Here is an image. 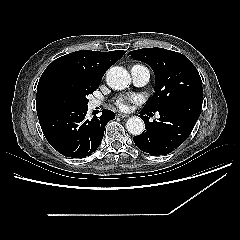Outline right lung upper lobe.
<instances>
[{"label": "right lung upper lobe", "mask_w": 240, "mask_h": 240, "mask_svg": "<svg viewBox=\"0 0 240 240\" xmlns=\"http://www.w3.org/2000/svg\"><path fill=\"white\" fill-rule=\"evenodd\" d=\"M125 51L110 52L76 51L54 60L45 69L37 86L36 108L38 119L59 108L48 95L50 85L60 77L78 82L100 83L109 67L118 61Z\"/></svg>", "instance_id": "obj_1"}]
</instances>
